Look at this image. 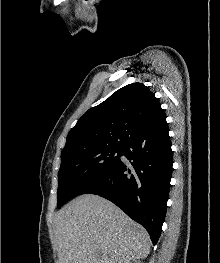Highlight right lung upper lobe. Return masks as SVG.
<instances>
[{"mask_svg":"<svg viewBox=\"0 0 220 263\" xmlns=\"http://www.w3.org/2000/svg\"><path fill=\"white\" fill-rule=\"evenodd\" d=\"M167 131L166 115L158 99L144 84L132 83L78 120L61 155L105 147L123 149L135 139L157 138Z\"/></svg>","mask_w":220,"mask_h":263,"instance_id":"cb5924a9","label":"right lung upper lobe"}]
</instances>
